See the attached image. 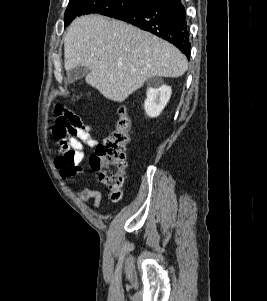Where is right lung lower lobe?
<instances>
[{"instance_id": "98d812e1", "label": "right lung lower lobe", "mask_w": 267, "mask_h": 301, "mask_svg": "<svg viewBox=\"0 0 267 301\" xmlns=\"http://www.w3.org/2000/svg\"><path fill=\"white\" fill-rule=\"evenodd\" d=\"M114 18L169 41L189 59V29L185 9L180 0H152L136 9L119 13Z\"/></svg>"}]
</instances>
